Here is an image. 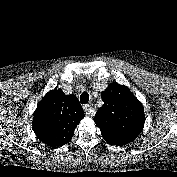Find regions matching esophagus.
<instances>
[{"label": "esophagus", "mask_w": 177, "mask_h": 177, "mask_svg": "<svg viewBox=\"0 0 177 177\" xmlns=\"http://www.w3.org/2000/svg\"><path fill=\"white\" fill-rule=\"evenodd\" d=\"M83 109L86 114L91 115V116L94 115V110L90 104H85L83 106Z\"/></svg>", "instance_id": "1"}]
</instances>
